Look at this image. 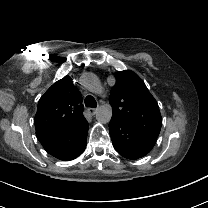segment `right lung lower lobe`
Instances as JSON below:
<instances>
[{"instance_id":"1","label":"right lung lower lobe","mask_w":208,"mask_h":208,"mask_svg":"<svg viewBox=\"0 0 208 208\" xmlns=\"http://www.w3.org/2000/svg\"><path fill=\"white\" fill-rule=\"evenodd\" d=\"M88 122L83 120L75 127L57 134L37 137L42 146L52 156L69 161L81 155L86 147Z\"/></svg>"}]
</instances>
